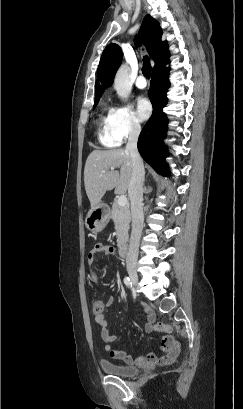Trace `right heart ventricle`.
Listing matches in <instances>:
<instances>
[{"label": "right heart ventricle", "instance_id": "e07e8e85", "mask_svg": "<svg viewBox=\"0 0 243 409\" xmlns=\"http://www.w3.org/2000/svg\"><path fill=\"white\" fill-rule=\"evenodd\" d=\"M103 110H109L107 104L103 105ZM110 112V111H109ZM109 115V114H108ZM100 130H99V140L106 147H115L118 145L119 141L112 135L109 125H108V116L104 114L100 118Z\"/></svg>", "mask_w": 243, "mask_h": 409}]
</instances>
